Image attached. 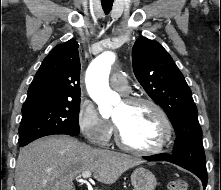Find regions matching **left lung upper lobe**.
<instances>
[{
  "label": "left lung upper lobe",
  "instance_id": "obj_1",
  "mask_svg": "<svg viewBox=\"0 0 221 190\" xmlns=\"http://www.w3.org/2000/svg\"><path fill=\"white\" fill-rule=\"evenodd\" d=\"M132 63L137 80L166 112L175 129L172 154L205 164L197 107L183 74L171 56L158 42L140 37L132 49Z\"/></svg>",
  "mask_w": 221,
  "mask_h": 190
}]
</instances>
